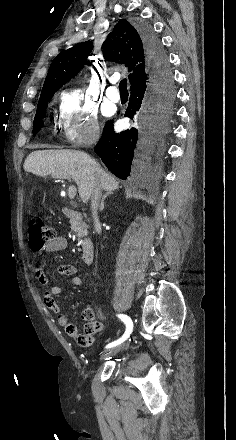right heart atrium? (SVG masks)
I'll use <instances>...</instances> for the list:
<instances>
[{
    "label": "right heart atrium",
    "instance_id": "obj_1",
    "mask_svg": "<svg viewBox=\"0 0 236 440\" xmlns=\"http://www.w3.org/2000/svg\"><path fill=\"white\" fill-rule=\"evenodd\" d=\"M57 119L63 137L75 146L92 144L100 136L96 107L77 88L58 94Z\"/></svg>",
    "mask_w": 236,
    "mask_h": 440
}]
</instances>
